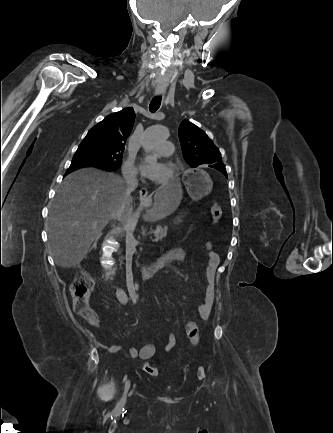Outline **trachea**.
Returning a JSON list of instances; mask_svg holds the SVG:
<instances>
[{
  "instance_id": "obj_1",
  "label": "trachea",
  "mask_w": 333,
  "mask_h": 433,
  "mask_svg": "<svg viewBox=\"0 0 333 433\" xmlns=\"http://www.w3.org/2000/svg\"><path fill=\"white\" fill-rule=\"evenodd\" d=\"M161 99H162L161 96H158V97H154L151 100V102L149 104V110L151 113H154L159 109V107L161 105Z\"/></svg>"
}]
</instances>
